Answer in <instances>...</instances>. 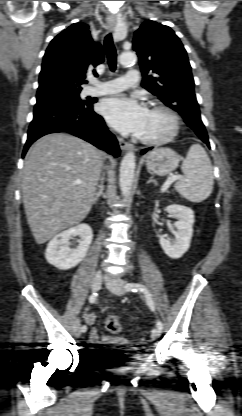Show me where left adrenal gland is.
<instances>
[{
	"label": "left adrenal gland",
	"mask_w": 242,
	"mask_h": 416,
	"mask_svg": "<svg viewBox=\"0 0 242 416\" xmlns=\"http://www.w3.org/2000/svg\"><path fill=\"white\" fill-rule=\"evenodd\" d=\"M149 183H153L154 185H156V184H157L156 180H154L152 176H151V177L149 178V180L147 181V184H149Z\"/></svg>",
	"instance_id": "obj_1"
}]
</instances>
